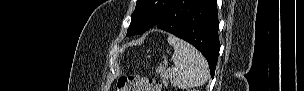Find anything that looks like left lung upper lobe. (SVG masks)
Segmentation results:
<instances>
[{"label":"left lung upper lobe","mask_w":304,"mask_h":91,"mask_svg":"<svg viewBox=\"0 0 304 91\" xmlns=\"http://www.w3.org/2000/svg\"><path fill=\"white\" fill-rule=\"evenodd\" d=\"M174 0H137L127 36L141 34L155 26Z\"/></svg>","instance_id":"left-lung-upper-lobe-1"}]
</instances>
